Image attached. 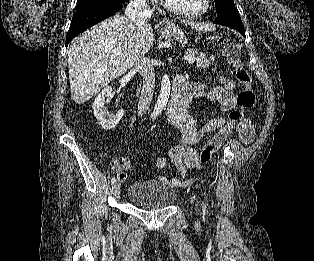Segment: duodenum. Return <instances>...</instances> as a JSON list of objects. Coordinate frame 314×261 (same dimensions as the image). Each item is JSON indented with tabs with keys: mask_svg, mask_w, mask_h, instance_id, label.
Wrapping results in <instances>:
<instances>
[{
	"mask_svg": "<svg viewBox=\"0 0 314 261\" xmlns=\"http://www.w3.org/2000/svg\"><path fill=\"white\" fill-rule=\"evenodd\" d=\"M194 98L193 93L188 89L183 76H178L173 84L172 95L167 107L166 115L173 118L178 113L184 111L191 99Z\"/></svg>",
	"mask_w": 314,
	"mask_h": 261,
	"instance_id": "obj_1",
	"label": "duodenum"
}]
</instances>
